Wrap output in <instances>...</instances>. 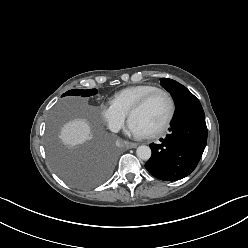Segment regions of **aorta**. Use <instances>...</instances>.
<instances>
[{"instance_id": "1", "label": "aorta", "mask_w": 248, "mask_h": 248, "mask_svg": "<svg viewBox=\"0 0 248 248\" xmlns=\"http://www.w3.org/2000/svg\"><path fill=\"white\" fill-rule=\"evenodd\" d=\"M136 155L141 160H148L151 157V149L149 146L141 145L137 148Z\"/></svg>"}]
</instances>
